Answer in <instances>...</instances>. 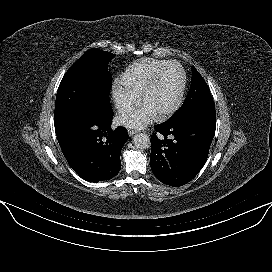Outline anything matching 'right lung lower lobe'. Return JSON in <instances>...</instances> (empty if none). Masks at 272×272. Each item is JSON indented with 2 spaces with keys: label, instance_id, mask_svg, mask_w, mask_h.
Masks as SVG:
<instances>
[{
  "label": "right lung lower lobe",
  "instance_id": "98d812e1",
  "mask_svg": "<svg viewBox=\"0 0 272 272\" xmlns=\"http://www.w3.org/2000/svg\"><path fill=\"white\" fill-rule=\"evenodd\" d=\"M112 118L113 111L106 115L84 111L56 132L67 162L86 181L109 180L121 169L120 154L128 133L120 126L111 130Z\"/></svg>",
  "mask_w": 272,
  "mask_h": 272
}]
</instances>
